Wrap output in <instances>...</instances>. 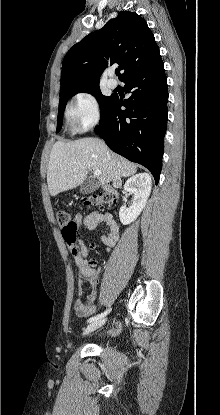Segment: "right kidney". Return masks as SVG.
<instances>
[{"label": "right kidney", "instance_id": "right-kidney-1", "mask_svg": "<svg viewBox=\"0 0 220 415\" xmlns=\"http://www.w3.org/2000/svg\"><path fill=\"white\" fill-rule=\"evenodd\" d=\"M151 188V176L147 173L136 174L126 181L124 190L133 194L134 199L130 208L125 205L120 208L119 218L123 225L130 224L139 216L147 203Z\"/></svg>", "mask_w": 220, "mask_h": 415}]
</instances>
